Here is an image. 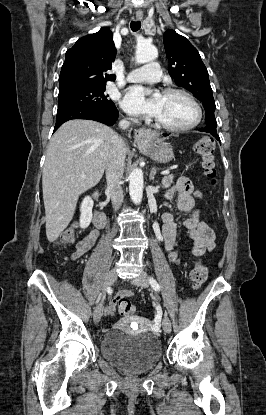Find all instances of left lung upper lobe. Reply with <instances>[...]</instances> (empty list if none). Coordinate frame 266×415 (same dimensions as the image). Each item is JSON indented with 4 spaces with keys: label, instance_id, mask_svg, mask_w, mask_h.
Returning a JSON list of instances; mask_svg holds the SVG:
<instances>
[{
    "label": "left lung upper lobe",
    "instance_id": "obj_1",
    "mask_svg": "<svg viewBox=\"0 0 266 415\" xmlns=\"http://www.w3.org/2000/svg\"><path fill=\"white\" fill-rule=\"evenodd\" d=\"M164 45L169 61L168 72L175 83L190 91L205 109L206 127L200 131L211 133L215 138L217 122L214 116L215 101L209 82L208 71L197 49L174 30L164 33Z\"/></svg>",
    "mask_w": 266,
    "mask_h": 415
}]
</instances>
